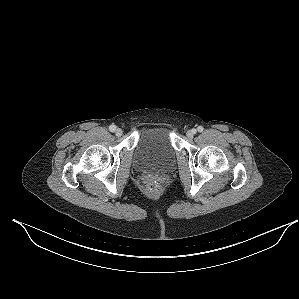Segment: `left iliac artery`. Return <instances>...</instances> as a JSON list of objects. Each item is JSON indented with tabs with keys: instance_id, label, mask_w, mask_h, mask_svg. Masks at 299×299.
Here are the masks:
<instances>
[{
	"instance_id": "left-iliac-artery-1",
	"label": "left iliac artery",
	"mask_w": 299,
	"mask_h": 299,
	"mask_svg": "<svg viewBox=\"0 0 299 299\" xmlns=\"http://www.w3.org/2000/svg\"><path fill=\"white\" fill-rule=\"evenodd\" d=\"M203 129H204V128H203L202 126H198V128H197L198 132H202Z\"/></svg>"
}]
</instances>
